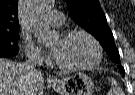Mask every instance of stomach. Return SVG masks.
<instances>
[{
  "label": "stomach",
  "instance_id": "0dacf381",
  "mask_svg": "<svg viewBox=\"0 0 135 95\" xmlns=\"http://www.w3.org/2000/svg\"><path fill=\"white\" fill-rule=\"evenodd\" d=\"M52 87L60 95H92L94 92L93 81L82 72L55 80Z\"/></svg>",
  "mask_w": 135,
  "mask_h": 95
}]
</instances>
